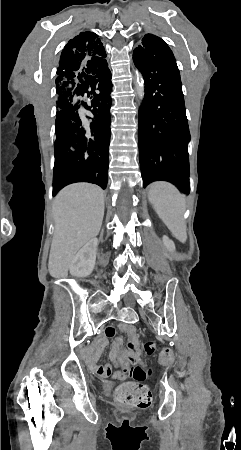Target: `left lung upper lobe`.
I'll return each mask as SVG.
<instances>
[{
    "label": "left lung upper lobe",
    "instance_id": "5c2ea615",
    "mask_svg": "<svg viewBox=\"0 0 241 450\" xmlns=\"http://www.w3.org/2000/svg\"><path fill=\"white\" fill-rule=\"evenodd\" d=\"M166 46V43L159 37L147 34L142 39V46H138L137 49L142 51H159L162 47Z\"/></svg>",
    "mask_w": 241,
    "mask_h": 450
}]
</instances>
